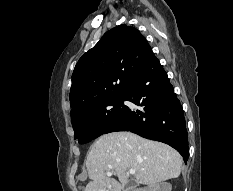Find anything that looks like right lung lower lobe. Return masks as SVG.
<instances>
[{"mask_svg":"<svg viewBox=\"0 0 233 191\" xmlns=\"http://www.w3.org/2000/svg\"><path fill=\"white\" fill-rule=\"evenodd\" d=\"M128 101L143 111H127L105 132L130 131L175 148L188 160L186 122L179 99L159 60L151 56L147 66L126 93Z\"/></svg>","mask_w":233,"mask_h":191,"instance_id":"98d812e1","label":"right lung lower lobe"}]
</instances>
